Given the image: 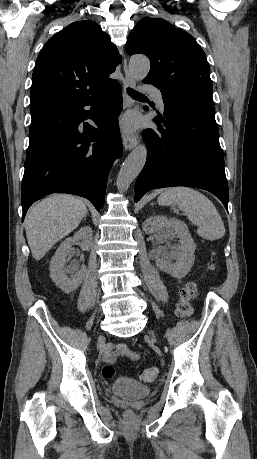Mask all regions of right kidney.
I'll return each instance as SVG.
<instances>
[{"instance_id":"obj_1","label":"right kidney","mask_w":257,"mask_h":459,"mask_svg":"<svg viewBox=\"0 0 257 459\" xmlns=\"http://www.w3.org/2000/svg\"><path fill=\"white\" fill-rule=\"evenodd\" d=\"M80 240L82 241L81 248L89 250L93 240V232L89 226L82 227L72 237L64 240L50 262V277L65 293L76 290L81 285L85 275V270L79 269L74 264L64 268L72 246ZM67 273H70L71 276L68 277Z\"/></svg>"}]
</instances>
